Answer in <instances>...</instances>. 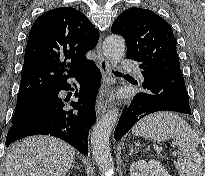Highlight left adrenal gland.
<instances>
[{"label":"left adrenal gland","mask_w":205,"mask_h":176,"mask_svg":"<svg viewBox=\"0 0 205 176\" xmlns=\"http://www.w3.org/2000/svg\"><path fill=\"white\" fill-rule=\"evenodd\" d=\"M134 151H136V150H134V148L132 147V148L130 149V152H129V154H128V157L131 156V155L134 153Z\"/></svg>","instance_id":"a2214340"}]
</instances>
